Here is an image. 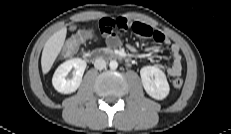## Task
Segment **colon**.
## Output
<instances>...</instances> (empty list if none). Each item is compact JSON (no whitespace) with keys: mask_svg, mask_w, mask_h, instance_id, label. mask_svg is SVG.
I'll list each match as a JSON object with an SVG mask.
<instances>
[{"mask_svg":"<svg viewBox=\"0 0 231 134\" xmlns=\"http://www.w3.org/2000/svg\"><path fill=\"white\" fill-rule=\"evenodd\" d=\"M89 32L85 31V32H81L79 33L77 36H75L73 39H71L64 47L62 55L64 57H70L72 56L77 50L78 47L80 45V43L83 41V39H85L86 37H88ZM172 84L175 88H180L183 84V79L182 78H175L172 81Z\"/></svg>","mask_w":231,"mask_h":134,"instance_id":"obj_1","label":"colon"}]
</instances>
